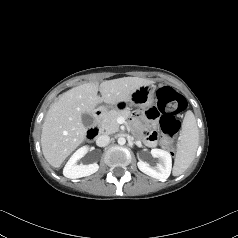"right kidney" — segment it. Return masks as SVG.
Masks as SVG:
<instances>
[{
    "label": "right kidney",
    "instance_id": "obj_1",
    "mask_svg": "<svg viewBox=\"0 0 238 238\" xmlns=\"http://www.w3.org/2000/svg\"><path fill=\"white\" fill-rule=\"evenodd\" d=\"M88 152V148L86 146L79 148L69 159L67 164L63 169V175L70 179L81 178L85 176H89L98 171L99 166L97 163L89 164V165H77V161L80 160L85 154Z\"/></svg>",
    "mask_w": 238,
    "mask_h": 238
}]
</instances>
